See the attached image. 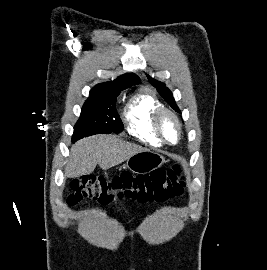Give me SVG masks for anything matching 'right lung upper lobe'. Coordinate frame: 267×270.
Returning <instances> with one entry per match:
<instances>
[{
  "label": "right lung upper lobe",
  "mask_w": 267,
  "mask_h": 270,
  "mask_svg": "<svg viewBox=\"0 0 267 270\" xmlns=\"http://www.w3.org/2000/svg\"><path fill=\"white\" fill-rule=\"evenodd\" d=\"M139 83L140 79L137 75H135L134 73H127L118 77L113 81L100 83L96 85L94 88H92L91 91H101V90L122 91L123 89H126L132 85H137Z\"/></svg>",
  "instance_id": "cb5924a9"
}]
</instances>
